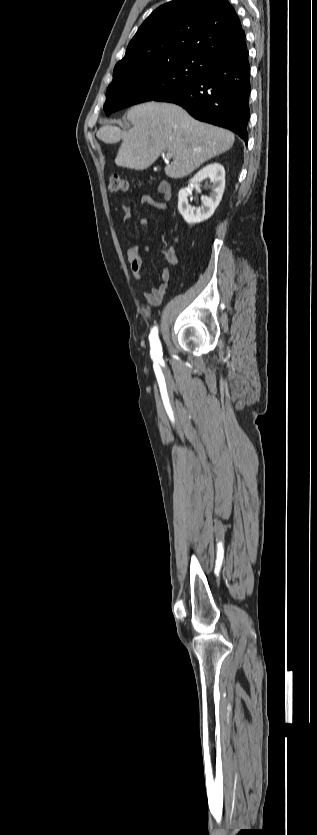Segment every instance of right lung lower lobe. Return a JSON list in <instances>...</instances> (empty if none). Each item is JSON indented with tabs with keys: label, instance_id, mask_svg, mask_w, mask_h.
Returning a JSON list of instances; mask_svg holds the SVG:
<instances>
[{
	"label": "right lung lower lobe",
	"instance_id": "1",
	"mask_svg": "<svg viewBox=\"0 0 317 835\" xmlns=\"http://www.w3.org/2000/svg\"><path fill=\"white\" fill-rule=\"evenodd\" d=\"M195 80L174 88L155 101L172 102L194 118L227 128L248 141L250 66L245 35L199 58Z\"/></svg>",
	"mask_w": 317,
	"mask_h": 835
}]
</instances>
